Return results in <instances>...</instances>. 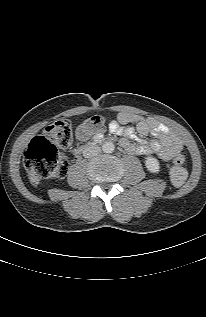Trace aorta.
Segmentation results:
<instances>
[{"mask_svg": "<svg viewBox=\"0 0 206 317\" xmlns=\"http://www.w3.org/2000/svg\"><path fill=\"white\" fill-rule=\"evenodd\" d=\"M115 149V145L113 144V142H105L103 145H102V150L103 152L105 153H112Z\"/></svg>", "mask_w": 206, "mask_h": 317, "instance_id": "aorta-1", "label": "aorta"}]
</instances>
